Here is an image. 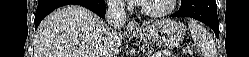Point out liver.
Listing matches in <instances>:
<instances>
[{
	"label": "liver",
	"mask_w": 249,
	"mask_h": 57,
	"mask_svg": "<svg viewBox=\"0 0 249 57\" xmlns=\"http://www.w3.org/2000/svg\"><path fill=\"white\" fill-rule=\"evenodd\" d=\"M107 26L92 11L67 5L48 15L35 36L34 57H117L122 35L114 45L105 39Z\"/></svg>",
	"instance_id": "1"
}]
</instances>
